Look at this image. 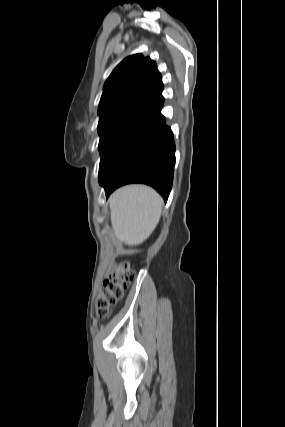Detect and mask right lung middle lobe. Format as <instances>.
I'll return each instance as SVG.
<instances>
[{
  "label": "right lung middle lobe",
  "instance_id": "obj_1",
  "mask_svg": "<svg viewBox=\"0 0 285 427\" xmlns=\"http://www.w3.org/2000/svg\"><path fill=\"white\" fill-rule=\"evenodd\" d=\"M144 115L145 113L142 112H123L99 120V150L101 153L99 175L108 168L123 142Z\"/></svg>",
  "mask_w": 285,
  "mask_h": 427
}]
</instances>
